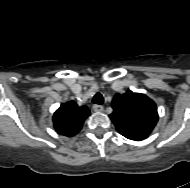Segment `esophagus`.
<instances>
[{"instance_id": "obj_1", "label": "esophagus", "mask_w": 190, "mask_h": 188, "mask_svg": "<svg viewBox=\"0 0 190 188\" xmlns=\"http://www.w3.org/2000/svg\"><path fill=\"white\" fill-rule=\"evenodd\" d=\"M92 108H93V110H94L95 112H102V111L104 110V107H103V106L97 105V104L93 105Z\"/></svg>"}]
</instances>
